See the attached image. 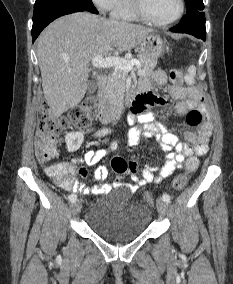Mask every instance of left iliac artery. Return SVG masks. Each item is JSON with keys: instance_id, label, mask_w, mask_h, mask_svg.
Instances as JSON below:
<instances>
[{"instance_id": "left-iliac-artery-1", "label": "left iliac artery", "mask_w": 233, "mask_h": 284, "mask_svg": "<svg viewBox=\"0 0 233 284\" xmlns=\"http://www.w3.org/2000/svg\"><path fill=\"white\" fill-rule=\"evenodd\" d=\"M162 199L167 203L170 202V196L166 193L163 194Z\"/></svg>"}]
</instances>
